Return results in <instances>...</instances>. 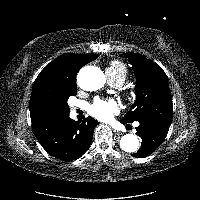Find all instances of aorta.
<instances>
[{
    "label": "aorta",
    "mask_w": 200,
    "mask_h": 200,
    "mask_svg": "<svg viewBox=\"0 0 200 200\" xmlns=\"http://www.w3.org/2000/svg\"><path fill=\"white\" fill-rule=\"evenodd\" d=\"M78 84L86 91H95L102 88L106 82L104 73L97 67L88 66L78 73ZM123 151L134 153L139 148V139L134 134H126L120 140Z\"/></svg>",
    "instance_id": "1"
}]
</instances>
